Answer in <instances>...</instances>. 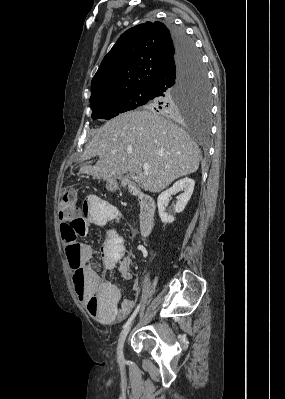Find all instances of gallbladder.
I'll list each match as a JSON object with an SVG mask.
<instances>
[{"label": "gallbladder", "mask_w": 285, "mask_h": 399, "mask_svg": "<svg viewBox=\"0 0 285 399\" xmlns=\"http://www.w3.org/2000/svg\"><path fill=\"white\" fill-rule=\"evenodd\" d=\"M130 179H131L132 181H136L134 176H130Z\"/></svg>", "instance_id": "1"}]
</instances>
